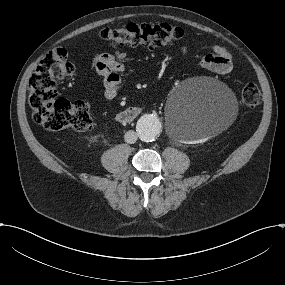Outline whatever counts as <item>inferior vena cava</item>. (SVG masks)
Instances as JSON below:
<instances>
[{
  "label": "inferior vena cava",
  "instance_id": "602c4592",
  "mask_svg": "<svg viewBox=\"0 0 285 285\" xmlns=\"http://www.w3.org/2000/svg\"><path fill=\"white\" fill-rule=\"evenodd\" d=\"M124 138H125V142L132 144V143H135L137 141L138 136H137L135 131L130 130V131H127L125 133Z\"/></svg>",
  "mask_w": 285,
  "mask_h": 285
}]
</instances>
